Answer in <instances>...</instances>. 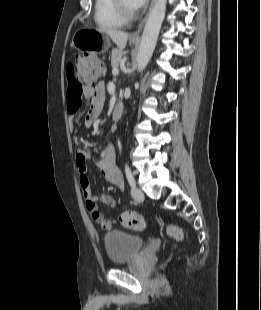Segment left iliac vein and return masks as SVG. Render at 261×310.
<instances>
[{"label": "left iliac vein", "instance_id": "4c4485c4", "mask_svg": "<svg viewBox=\"0 0 261 310\" xmlns=\"http://www.w3.org/2000/svg\"><path fill=\"white\" fill-rule=\"evenodd\" d=\"M131 195L135 201L142 202L144 200V193L139 188H132Z\"/></svg>", "mask_w": 261, "mask_h": 310}]
</instances>
